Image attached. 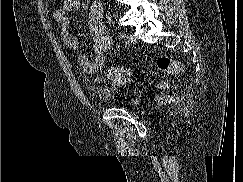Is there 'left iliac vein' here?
<instances>
[{
  "mask_svg": "<svg viewBox=\"0 0 243 182\" xmlns=\"http://www.w3.org/2000/svg\"><path fill=\"white\" fill-rule=\"evenodd\" d=\"M126 39L128 42H131V43L136 42V37L133 34H127Z\"/></svg>",
  "mask_w": 243,
  "mask_h": 182,
  "instance_id": "obj_1",
  "label": "left iliac vein"
}]
</instances>
